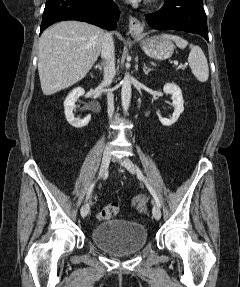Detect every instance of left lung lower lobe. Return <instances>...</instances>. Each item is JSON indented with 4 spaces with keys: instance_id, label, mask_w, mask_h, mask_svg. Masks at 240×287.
<instances>
[{
    "instance_id": "obj_1",
    "label": "left lung lower lobe",
    "mask_w": 240,
    "mask_h": 287,
    "mask_svg": "<svg viewBox=\"0 0 240 287\" xmlns=\"http://www.w3.org/2000/svg\"><path fill=\"white\" fill-rule=\"evenodd\" d=\"M147 23L157 30H182L203 36L208 42L203 0H167L158 12L147 14Z\"/></svg>"
}]
</instances>
